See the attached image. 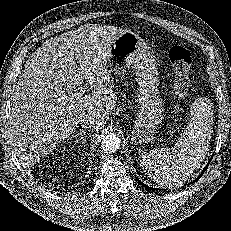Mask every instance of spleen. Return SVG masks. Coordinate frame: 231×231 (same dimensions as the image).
Returning a JSON list of instances; mask_svg holds the SVG:
<instances>
[{"label": "spleen", "instance_id": "1", "mask_svg": "<svg viewBox=\"0 0 231 231\" xmlns=\"http://www.w3.org/2000/svg\"><path fill=\"white\" fill-rule=\"evenodd\" d=\"M212 122L209 108L197 99L191 107L188 126L173 147L155 148L141 154L143 172L160 185L181 186L208 152Z\"/></svg>", "mask_w": 231, "mask_h": 231}]
</instances>
